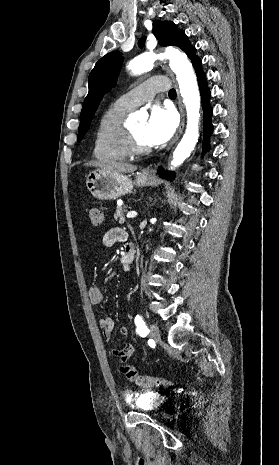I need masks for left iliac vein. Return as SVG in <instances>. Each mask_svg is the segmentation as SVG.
<instances>
[{
  "mask_svg": "<svg viewBox=\"0 0 279 465\" xmlns=\"http://www.w3.org/2000/svg\"><path fill=\"white\" fill-rule=\"evenodd\" d=\"M149 335L151 338H153L156 341L160 340V331L159 328L156 324H151L149 327Z\"/></svg>",
  "mask_w": 279,
  "mask_h": 465,
  "instance_id": "left-iliac-vein-1",
  "label": "left iliac vein"
}]
</instances>
